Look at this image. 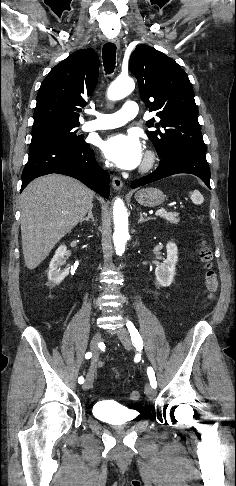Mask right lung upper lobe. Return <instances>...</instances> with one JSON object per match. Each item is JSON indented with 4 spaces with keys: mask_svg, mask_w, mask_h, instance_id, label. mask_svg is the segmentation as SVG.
I'll list each match as a JSON object with an SVG mask.
<instances>
[{
    "mask_svg": "<svg viewBox=\"0 0 236 486\" xmlns=\"http://www.w3.org/2000/svg\"><path fill=\"white\" fill-rule=\"evenodd\" d=\"M99 75V59L92 49L79 50L56 65L41 83L34 124H80L81 108Z\"/></svg>",
    "mask_w": 236,
    "mask_h": 486,
    "instance_id": "1",
    "label": "right lung upper lobe"
}]
</instances>
